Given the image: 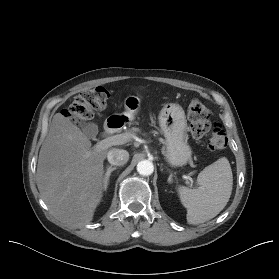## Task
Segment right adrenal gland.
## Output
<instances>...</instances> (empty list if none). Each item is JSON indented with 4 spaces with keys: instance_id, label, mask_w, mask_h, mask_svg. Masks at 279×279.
<instances>
[{
    "instance_id": "right-adrenal-gland-1",
    "label": "right adrenal gland",
    "mask_w": 279,
    "mask_h": 279,
    "mask_svg": "<svg viewBox=\"0 0 279 279\" xmlns=\"http://www.w3.org/2000/svg\"><path fill=\"white\" fill-rule=\"evenodd\" d=\"M117 169V166H109L107 167V171L105 173V184H104V190L106 191L107 190V186L109 184V178H110V175L113 171H115Z\"/></svg>"
}]
</instances>
